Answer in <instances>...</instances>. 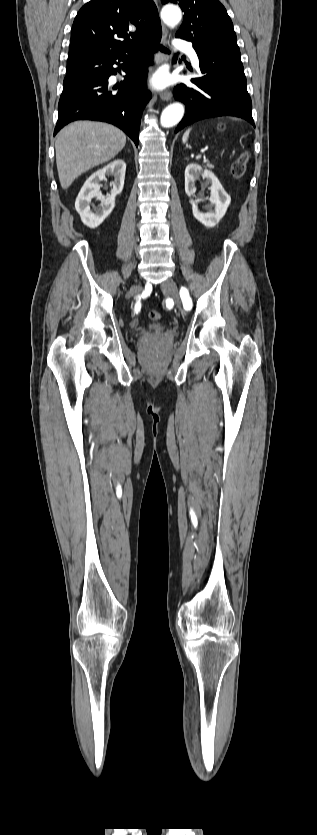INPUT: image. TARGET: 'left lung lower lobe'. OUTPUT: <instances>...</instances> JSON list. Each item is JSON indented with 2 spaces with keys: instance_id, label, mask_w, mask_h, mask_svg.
<instances>
[{
  "instance_id": "1",
  "label": "left lung lower lobe",
  "mask_w": 317,
  "mask_h": 835,
  "mask_svg": "<svg viewBox=\"0 0 317 835\" xmlns=\"http://www.w3.org/2000/svg\"><path fill=\"white\" fill-rule=\"evenodd\" d=\"M193 47L199 58V76L191 79L193 87L181 83L173 90L175 99L185 103L187 112L175 132L198 120L218 116L239 117L255 127L240 51L202 43Z\"/></svg>"
}]
</instances>
